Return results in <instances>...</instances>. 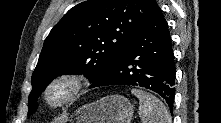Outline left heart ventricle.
Segmentation results:
<instances>
[{
  "instance_id": "1",
  "label": "left heart ventricle",
  "mask_w": 221,
  "mask_h": 123,
  "mask_svg": "<svg viewBox=\"0 0 221 123\" xmlns=\"http://www.w3.org/2000/svg\"><path fill=\"white\" fill-rule=\"evenodd\" d=\"M62 95V91L61 90H57L52 94V98L53 99H58L60 98V96Z\"/></svg>"
}]
</instances>
